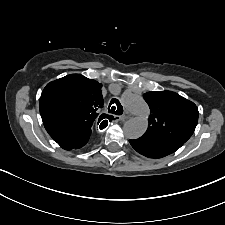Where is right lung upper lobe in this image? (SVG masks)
<instances>
[{
  "instance_id": "obj_1",
  "label": "right lung upper lobe",
  "mask_w": 225,
  "mask_h": 225,
  "mask_svg": "<svg viewBox=\"0 0 225 225\" xmlns=\"http://www.w3.org/2000/svg\"><path fill=\"white\" fill-rule=\"evenodd\" d=\"M101 88L100 83L80 74L67 75L48 83L39 104L43 122L78 123L91 129L102 119L98 117V110L103 107Z\"/></svg>"
}]
</instances>
